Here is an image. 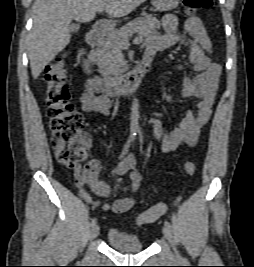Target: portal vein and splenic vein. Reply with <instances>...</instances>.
<instances>
[{"label":"portal vein and splenic vein","mask_w":254,"mask_h":267,"mask_svg":"<svg viewBox=\"0 0 254 267\" xmlns=\"http://www.w3.org/2000/svg\"><path fill=\"white\" fill-rule=\"evenodd\" d=\"M96 11H97L98 13H101V12L103 11V7H98ZM142 40H143V37H142V36H138V37H136V38L133 40V43H135V44H139V43L142 42ZM128 46H129V43H128V42L123 43V47H124V48H128Z\"/></svg>","instance_id":"obj_1"}]
</instances>
